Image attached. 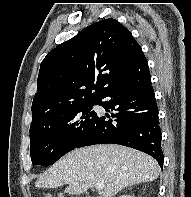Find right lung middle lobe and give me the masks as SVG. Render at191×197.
Returning <instances> with one entry per match:
<instances>
[{
  "label": "right lung middle lobe",
  "instance_id": "right-lung-middle-lobe-1",
  "mask_svg": "<svg viewBox=\"0 0 191 197\" xmlns=\"http://www.w3.org/2000/svg\"><path fill=\"white\" fill-rule=\"evenodd\" d=\"M94 105L97 100L73 106L31 128L32 163L49 166L75 149L96 120Z\"/></svg>",
  "mask_w": 191,
  "mask_h": 197
}]
</instances>
